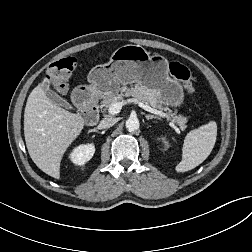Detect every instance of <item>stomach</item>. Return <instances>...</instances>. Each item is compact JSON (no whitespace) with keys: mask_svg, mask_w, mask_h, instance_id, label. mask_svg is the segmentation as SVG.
<instances>
[{"mask_svg":"<svg viewBox=\"0 0 252 252\" xmlns=\"http://www.w3.org/2000/svg\"><path fill=\"white\" fill-rule=\"evenodd\" d=\"M169 62L160 54L150 55L140 45H125L115 50L110 61L97 65L88 74L90 85H81L74 92H87L107 98L118 94L121 85L138 83L155 90L165 106L183 104L184 91L181 83L169 76Z\"/></svg>","mask_w":252,"mask_h":252,"instance_id":"1","label":"stomach"}]
</instances>
